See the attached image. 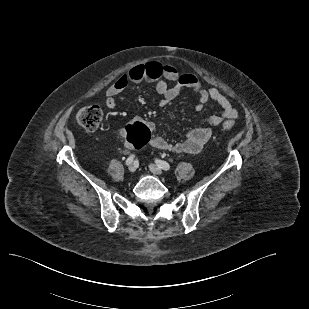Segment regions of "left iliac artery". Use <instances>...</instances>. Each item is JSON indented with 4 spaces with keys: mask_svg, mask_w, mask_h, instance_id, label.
<instances>
[{
    "mask_svg": "<svg viewBox=\"0 0 309 309\" xmlns=\"http://www.w3.org/2000/svg\"><path fill=\"white\" fill-rule=\"evenodd\" d=\"M156 164L163 170L168 171L170 170V165L169 163H167L166 161L160 160V159H156L155 160Z\"/></svg>",
    "mask_w": 309,
    "mask_h": 309,
    "instance_id": "left-iliac-artery-1",
    "label": "left iliac artery"
}]
</instances>
